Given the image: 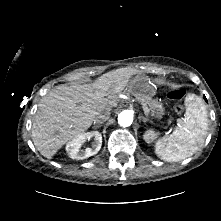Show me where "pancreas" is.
I'll return each mask as SVG.
<instances>
[{
	"label": "pancreas",
	"mask_w": 221,
	"mask_h": 221,
	"mask_svg": "<svg viewBox=\"0 0 221 221\" xmlns=\"http://www.w3.org/2000/svg\"><path fill=\"white\" fill-rule=\"evenodd\" d=\"M136 99L141 103L145 104L149 107L152 116L157 118H161L164 115V108L163 104L156 99H152L150 96L147 95H139L136 96Z\"/></svg>",
	"instance_id": "cf45deb5"
}]
</instances>
